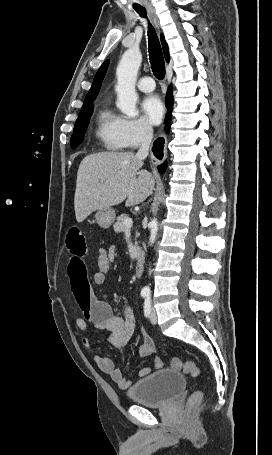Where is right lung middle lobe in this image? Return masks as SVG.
Here are the masks:
<instances>
[{
  "label": "right lung middle lobe",
  "mask_w": 272,
  "mask_h": 455,
  "mask_svg": "<svg viewBox=\"0 0 272 455\" xmlns=\"http://www.w3.org/2000/svg\"><path fill=\"white\" fill-rule=\"evenodd\" d=\"M93 101L84 103L79 113L78 119L76 120L73 135L71 137V147L76 148L82 143L84 133L89 123L90 116L93 112Z\"/></svg>",
  "instance_id": "1"
}]
</instances>
